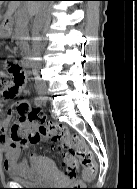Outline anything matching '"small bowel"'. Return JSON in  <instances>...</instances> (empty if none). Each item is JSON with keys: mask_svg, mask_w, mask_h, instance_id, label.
<instances>
[{"mask_svg": "<svg viewBox=\"0 0 137 189\" xmlns=\"http://www.w3.org/2000/svg\"><path fill=\"white\" fill-rule=\"evenodd\" d=\"M1 103L2 100H0V105ZM26 106H28V103L26 101H22L16 106L15 109H9L6 115L0 119V145L2 146L4 154V168L8 173L11 171L25 172L28 168L26 161L19 160L20 152L26 143L15 140L11 133L10 135L8 134L11 117L15 111H17L19 115V119L17 121L18 123L24 127H28L30 125V123L25 119V112L22 110ZM30 158L33 160L36 158V155L31 154Z\"/></svg>", "mask_w": 137, "mask_h": 189, "instance_id": "obj_1", "label": "small bowel"}]
</instances>
